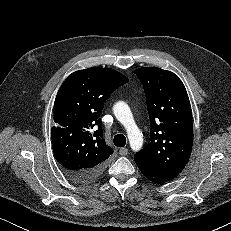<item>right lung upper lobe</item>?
Returning <instances> with one entry per match:
<instances>
[{
    "instance_id": "1",
    "label": "right lung upper lobe",
    "mask_w": 231,
    "mask_h": 231,
    "mask_svg": "<svg viewBox=\"0 0 231 231\" xmlns=\"http://www.w3.org/2000/svg\"><path fill=\"white\" fill-rule=\"evenodd\" d=\"M128 78L111 68H88L72 73L54 103L51 129L53 153L68 172L104 167L113 153L102 133L104 103Z\"/></svg>"
}]
</instances>
